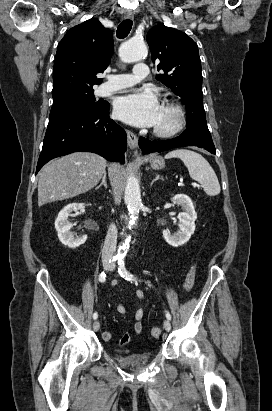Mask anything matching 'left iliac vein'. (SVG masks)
Instances as JSON below:
<instances>
[{
	"mask_svg": "<svg viewBox=\"0 0 272 411\" xmlns=\"http://www.w3.org/2000/svg\"><path fill=\"white\" fill-rule=\"evenodd\" d=\"M114 269H115V265H111L107 270L112 271V270H114ZM163 326H164V329H165L166 331H170V330H171V323H170V321H169L168 319L164 321Z\"/></svg>",
	"mask_w": 272,
	"mask_h": 411,
	"instance_id": "left-iliac-vein-1",
	"label": "left iliac vein"
}]
</instances>
